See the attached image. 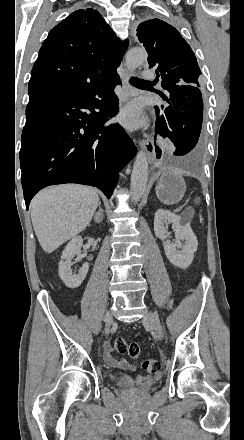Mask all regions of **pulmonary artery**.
<instances>
[{
  "label": "pulmonary artery",
  "instance_id": "e3ab8cb5",
  "mask_svg": "<svg viewBox=\"0 0 244 440\" xmlns=\"http://www.w3.org/2000/svg\"><path fill=\"white\" fill-rule=\"evenodd\" d=\"M141 74L143 78H150L152 73L150 69H143Z\"/></svg>",
  "mask_w": 244,
  "mask_h": 440
}]
</instances>
